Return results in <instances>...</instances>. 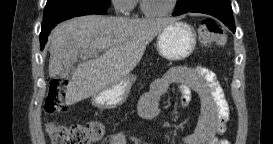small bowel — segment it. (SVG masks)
Returning <instances> with one entry per match:
<instances>
[{
  "label": "small bowel",
  "mask_w": 273,
  "mask_h": 144,
  "mask_svg": "<svg viewBox=\"0 0 273 144\" xmlns=\"http://www.w3.org/2000/svg\"><path fill=\"white\" fill-rule=\"evenodd\" d=\"M181 85V104L186 105L190 90L198 93L201 100V113L198 124L192 133L180 137L183 144H218L217 135L223 133L229 119V108L222 87L215 73L204 67L190 68L177 66L162 77L157 78L150 90L144 94L138 114L145 120L155 118L159 113L158 103L171 84ZM103 143L126 144V137L119 132L108 137Z\"/></svg>",
  "instance_id": "small-bowel-1"
}]
</instances>
